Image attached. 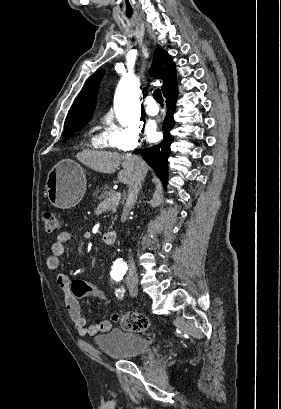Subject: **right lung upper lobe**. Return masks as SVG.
<instances>
[{"mask_svg":"<svg viewBox=\"0 0 281 409\" xmlns=\"http://www.w3.org/2000/svg\"><path fill=\"white\" fill-rule=\"evenodd\" d=\"M103 74L104 71L101 70L88 79L68 113L65 127L85 125L91 119L96 104L99 83ZM150 74L154 78L164 81L161 86L164 96L177 85L175 64L163 49L155 51Z\"/></svg>","mask_w":281,"mask_h":409,"instance_id":"right-lung-upper-lobe-1","label":"right lung upper lobe"}]
</instances>
